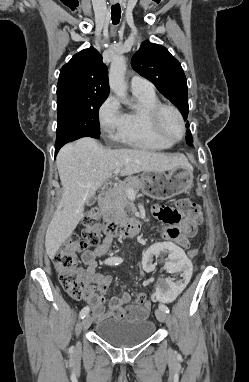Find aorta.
<instances>
[{"mask_svg": "<svg viewBox=\"0 0 249 382\" xmlns=\"http://www.w3.org/2000/svg\"><path fill=\"white\" fill-rule=\"evenodd\" d=\"M126 59L124 56L115 58L110 65L109 86L116 96L124 103L131 105L127 99V84L125 82Z\"/></svg>", "mask_w": 249, "mask_h": 382, "instance_id": "1", "label": "aorta"}]
</instances>
